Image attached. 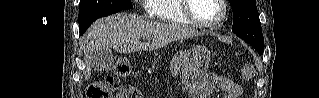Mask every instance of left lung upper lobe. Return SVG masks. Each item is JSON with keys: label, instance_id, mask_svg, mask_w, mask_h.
I'll return each mask as SVG.
<instances>
[{"label": "left lung upper lobe", "instance_id": "1", "mask_svg": "<svg viewBox=\"0 0 319 98\" xmlns=\"http://www.w3.org/2000/svg\"><path fill=\"white\" fill-rule=\"evenodd\" d=\"M234 22L233 32L252 45L256 50H264V39L256 7V0H229Z\"/></svg>", "mask_w": 319, "mask_h": 98}]
</instances>
